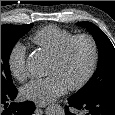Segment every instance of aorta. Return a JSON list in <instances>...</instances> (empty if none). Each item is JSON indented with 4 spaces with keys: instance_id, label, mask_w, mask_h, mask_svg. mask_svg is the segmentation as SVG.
Returning <instances> with one entry per match:
<instances>
[{
    "instance_id": "obj_1",
    "label": "aorta",
    "mask_w": 115,
    "mask_h": 115,
    "mask_svg": "<svg viewBox=\"0 0 115 115\" xmlns=\"http://www.w3.org/2000/svg\"><path fill=\"white\" fill-rule=\"evenodd\" d=\"M27 68L32 75L42 76L47 69L46 59L38 53L31 54L27 60ZM46 115H65V111L60 105L52 104L47 107Z\"/></svg>"
}]
</instances>
